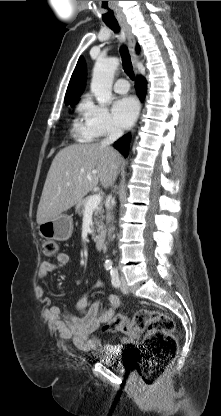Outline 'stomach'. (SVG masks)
<instances>
[{"label":"stomach","mask_w":221,"mask_h":416,"mask_svg":"<svg viewBox=\"0 0 221 416\" xmlns=\"http://www.w3.org/2000/svg\"><path fill=\"white\" fill-rule=\"evenodd\" d=\"M39 235L43 238L67 241L73 232L72 217L66 214H60L52 220L38 225Z\"/></svg>","instance_id":"1"}]
</instances>
